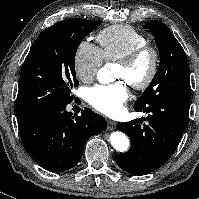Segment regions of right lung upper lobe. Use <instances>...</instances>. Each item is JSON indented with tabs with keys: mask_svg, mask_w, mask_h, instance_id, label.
Listing matches in <instances>:
<instances>
[{
	"mask_svg": "<svg viewBox=\"0 0 199 199\" xmlns=\"http://www.w3.org/2000/svg\"><path fill=\"white\" fill-rule=\"evenodd\" d=\"M24 124H19V127L23 126Z\"/></svg>",
	"mask_w": 199,
	"mask_h": 199,
	"instance_id": "right-lung-upper-lobe-1",
	"label": "right lung upper lobe"
}]
</instances>
